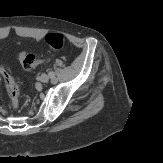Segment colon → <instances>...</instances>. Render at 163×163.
Wrapping results in <instances>:
<instances>
[{
    "label": "colon",
    "instance_id": "1",
    "mask_svg": "<svg viewBox=\"0 0 163 163\" xmlns=\"http://www.w3.org/2000/svg\"><path fill=\"white\" fill-rule=\"evenodd\" d=\"M45 41L52 51H56L63 47L64 36L61 33H49L46 35ZM18 59L22 67L26 70H31L46 60L38 58L32 53H27L24 51L19 54ZM0 69L4 77L6 89L9 94L11 104L13 107H17L19 103L18 83L7 68L1 67Z\"/></svg>",
    "mask_w": 163,
    "mask_h": 163
}]
</instances>
